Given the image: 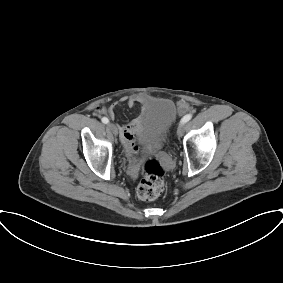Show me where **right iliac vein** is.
I'll list each match as a JSON object with an SVG mask.
<instances>
[{
  "mask_svg": "<svg viewBox=\"0 0 283 283\" xmlns=\"http://www.w3.org/2000/svg\"><path fill=\"white\" fill-rule=\"evenodd\" d=\"M107 127L115 136L118 134V129L115 124L109 123Z\"/></svg>",
  "mask_w": 283,
  "mask_h": 283,
  "instance_id": "right-iliac-vein-1",
  "label": "right iliac vein"
}]
</instances>
